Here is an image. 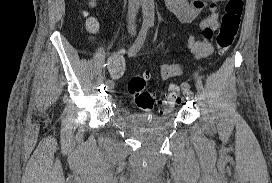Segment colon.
<instances>
[{
    "instance_id": "1",
    "label": "colon",
    "mask_w": 272,
    "mask_h": 183,
    "mask_svg": "<svg viewBox=\"0 0 272 183\" xmlns=\"http://www.w3.org/2000/svg\"><path fill=\"white\" fill-rule=\"evenodd\" d=\"M244 8L243 0H228L222 16L221 27L216 37L219 54H224L233 44L240 26L241 16ZM89 29L97 31L98 23L94 18L88 20ZM150 80L149 73L137 75L128 83V91L134 97L137 106L145 111H150L155 106V97L146 90ZM180 101L177 88L171 91L163 99L158 101L160 111L167 113L171 111Z\"/></svg>"
}]
</instances>
